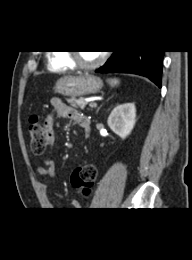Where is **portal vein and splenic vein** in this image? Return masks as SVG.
Returning <instances> with one entry per match:
<instances>
[{"label": "portal vein and splenic vein", "mask_w": 192, "mask_h": 260, "mask_svg": "<svg viewBox=\"0 0 192 260\" xmlns=\"http://www.w3.org/2000/svg\"><path fill=\"white\" fill-rule=\"evenodd\" d=\"M89 106H90L91 108H94V107L97 106V103H90Z\"/></svg>", "instance_id": "1"}]
</instances>
